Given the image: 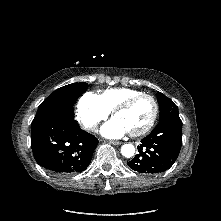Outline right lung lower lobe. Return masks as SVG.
<instances>
[{
	"instance_id": "right-lung-lower-lobe-1",
	"label": "right lung lower lobe",
	"mask_w": 221,
	"mask_h": 221,
	"mask_svg": "<svg viewBox=\"0 0 221 221\" xmlns=\"http://www.w3.org/2000/svg\"><path fill=\"white\" fill-rule=\"evenodd\" d=\"M70 110L52 113L32 127L31 147L37 163L57 174L85 170L98 144L85 132Z\"/></svg>"
}]
</instances>
